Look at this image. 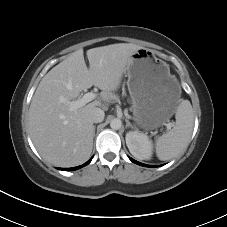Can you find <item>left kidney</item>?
<instances>
[{"label":"left kidney","mask_w":227,"mask_h":227,"mask_svg":"<svg viewBox=\"0 0 227 227\" xmlns=\"http://www.w3.org/2000/svg\"><path fill=\"white\" fill-rule=\"evenodd\" d=\"M126 144L130 153L141 160H148L152 156V142L143 133L130 131L126 134Z\"/></svg>","instance_id":"5707ae66"}]
</instances>
